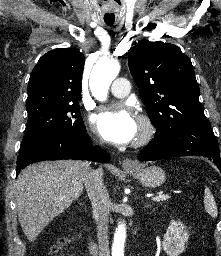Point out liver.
Here are the masks:
<instances>
[{
	"mask_svg": "<svg viewBox=\"0 0 221 256\" xmlns=\"http://www.w3.org/2000/svg\"><path fill=\"white\" fill-rule=\"evenodd\" d=\"M88 169L87 162L60 160L29 165L20 172L15 203L29 241L34 242L50 221L80 197Z\"/></svg>",
	"mask_w": 221,
	"mask_h": 256,
	"instance_id": "obj_1",
	"label": "liver"
}]
</instances>
